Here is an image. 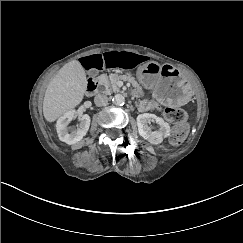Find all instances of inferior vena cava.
<instances>
[{
    "mask_svg": "<svg viewBox=\"0 0 243 243\" xmlns=\"http://www.w3.org/2000/svg\"><path fill=\"white\" fill-rule=\"evenodd\" d=\"M108 102L107 96L104 94H97L94 98V103L97 106H106Z\"/></svg>",
    "mask_w": 243,
    "mask_h": 243,
    "instance_id": "inferior-vena-cava-1",
    "label": "inferior vena cava"
}]
</instances>
